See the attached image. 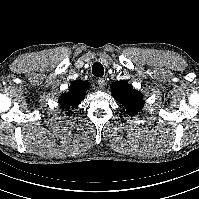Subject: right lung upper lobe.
Returning a JSON list of instances; mask_svg holds the SVG:
<instances>
[{
  "label": "right lung upper lobe",
  "instance_id": "1",
  "mask_svg": "<svg viewBox=\"0 0 199 199\" xmlns=\"http://www.w3.org/2000/svg\"><path fill=\"white\" fill-rule=\"evenodd\" d=\"M89 88V83L76 80L69 87V92L62 94L59 98V104L69 114L83 100L86 90Z\"/></svg>",
  "mask_w": 199,
  "mask_h": 199
}]
</instances>
